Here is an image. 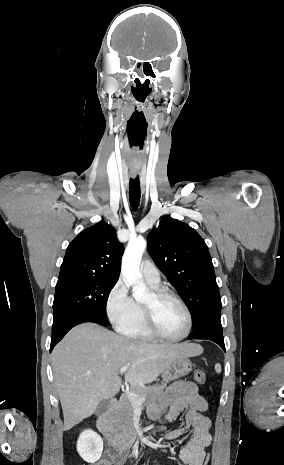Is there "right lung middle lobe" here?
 <instances>
[{
    "mask_svg": "<svg viewBox=\"0 0 284 465\" xmlns=\"http://www.w3.org/2000/svg\"><path fill=\"white\" fill-rule=\"evenodd\" d=\"M116 282L82 276L58 278L53 302V323L76 313H91L107 318L106 303Z\"/></svg>",
    "mask_w": 284,
    "mask_h": 465,
    "instance_id": "dd1d6c3e",
    "label": "right lung middle lobe"
}]
</instances>
